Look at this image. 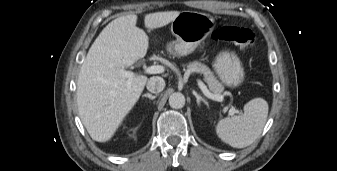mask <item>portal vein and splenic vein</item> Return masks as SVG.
I'll list each match as a JSON object with an SVG mask.
<instances>
[{
  "label": "portal vein and splenic vein",
  "mask_w": 337,
  "mask_h": 171,
  "mask_svg": "<svg viewBox=\"0 0 337 171\" xmlns=\"http://www.w3.org/2000/svg\"><path fill=\"white\" fill-rule=\"evenodd\" d=\"M165 71L164 66L161 65H153L150 67H147L144 69V73L146 74H158V73H163ZM121 73L128 79L127 80V85L130 87L132 79L136 76V74L132 71H126V70H121ZM198 85L204 95L212 100L222 102L224 100V96L221 94H213L207 89V86L202 82L198 81ZM239 111L236 110L235 108H231L229 110V115L233 116L235 113H238Z\"/></svg>",
  "instance_id": "18ae733b"
}]
</instances>
